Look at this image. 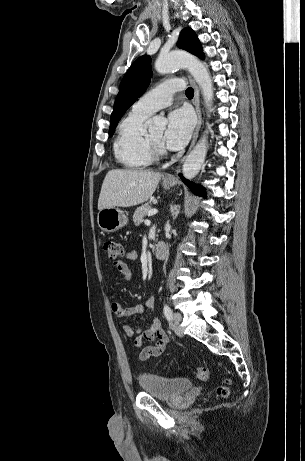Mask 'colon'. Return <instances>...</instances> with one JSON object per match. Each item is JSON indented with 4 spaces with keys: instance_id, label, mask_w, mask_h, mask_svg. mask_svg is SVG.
<instances>
[{
    "instance_id": "5ec220e1",
    "label": "colon",
    "mask_w": 305,
    "mask_h": 461,
    "mask_svg": "<svg viewBox=\"0 0 305 461\" xmlns=\"http://www.w3.org/2000/svg\"><path fill=\"white\" fill-rule=\"evenodd\" d=\"M104 251L106 252L109 260L114 263L118 262L119 258L122 257L124 253L123 244L117 240L108 239L103 244ZM196 374L200 379H207L208 372L204 367H198L196 369ZM229 384L230 380L225 379L224 383L219 385L216 388V394L220 397H226L229 394Z\"/></svg>"
}]
</instances>
